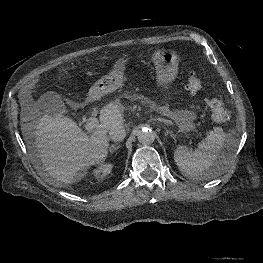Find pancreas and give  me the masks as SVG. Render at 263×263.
I'll return each mask as SVG.
<instances>
[{
	"label": "pancreas",
	"mask_w": 263,
	"mask_h": 263,
	"mask_svg": "<svg viewBox=\"0 0 263 263\" xmlns=\"http://www.w3.org/2000/svg\"><path fill=\"white\" fill-rule=\"evenodd\" d=\"M124 97L127 99L139 101L141 104L147 105L151 109H155L156 107V104L153 101H151L149 98L143 95H137V94L130 95L129 93H126L124 94Z\"/></svg>",
	"instance_id": "cf45deb5"
}]
</instances>
